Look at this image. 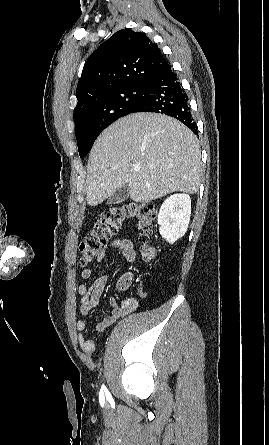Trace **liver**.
<instances>
[{"label": "liver", "mask_w": 269, "mask_h": 445, "mask_svg": "<svg viewBox=\"0 0 269 445\" xmlns=\"http://www.w3.org/2000/svg\"><path fill=\"white\" fill-rule=\"evenodd\" d=\"M200 179L199 143L191 130L166 115L135 113L111 124L96 140L86 200L96 206L124 185L135 202L176 191L194 194Z\"/></svg>", "instance_id": "1"}]
</instances>
